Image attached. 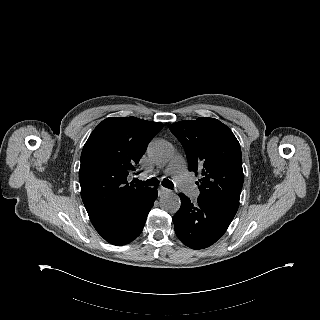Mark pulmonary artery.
<instances>
[{"label":"pulmonary artery","mask_w":320,"mask_h":320,"mask_svg":"<svg viewBox=\"0 0 320 320\" xmlns=\"http://www.w3.org/2000/svg\"><path fill=\"white\" fill-rule=\"evenodd\" d=\"M167 174H170L177 186L191 198H195L199 195L198 188L193 184L189 178L186 168L185 160L181 155H176L165 169Z\"/></svg>","instance_id":"obj_1"}]
</instances>
